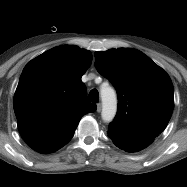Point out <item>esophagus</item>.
I'll return each mask as SVG.
<instances>
[{
  "label": "esophagus",
  "instance_id": "34e87169",
  "mask_svg": "<svg viewBox=\"0 0 187 187\" xmlns=\"http://www.w3.org/2000/svg\"><path fill=\"white\" fill-rule=\"evenodd\" d=\"M101 110H102V105H101V103H98L97 107H96V111L100 112Z\"/></svg>",
  "mask_w": 187,
  "mask_h": 187
}]
</instances>
